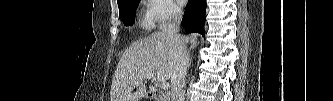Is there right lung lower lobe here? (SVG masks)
Wrapping results in <instances>:
<instances>
[{"mask_svg":"<svg viewBox=\"0 0 333 101\" xmlns=\"http://www.w3.org/2000/svg\"><path fill=\"white\" fill-rule=\"evenodd\" d=\"M206 0H189L182 19L183 27L190 33L204 34Z\"/></svg>","mask_w":333,"mask_h":101,"instance_id":"obj_1","label":"right lung lower lobe"}]
</instances>
